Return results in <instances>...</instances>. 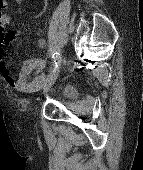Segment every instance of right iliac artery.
Here are the masks:
<instances>
[{
    "mask_svg": "<svg viewBox=\"0 0 143 170\" xmlns=\"http://www.w3.org/2000/svg\"><path fill=\"white\" fill-rule=\"evenodd\" d=\"M52 59H53V65H54V68H53V74L56 73V71L58 70V64L61 62V55L60 53H54L52 55Z\"/></svg>",
    "mask_w": 143,
    "mask_h": 170,
    "instance_id": "82829eb1",
    "label": "right iliac artery"
}]
</instances>
